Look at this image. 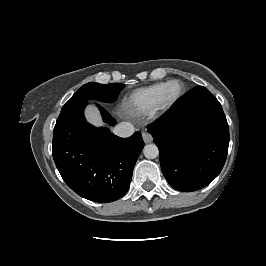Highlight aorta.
<instances>
[{
    "mask_svg": "<svg viewBox=\"0 0 266 266\" xmlns=\"http://www.w3.org/2000/svg\"><path fill=\"white\" fill-rule=\"evenodd\" d=\"M143 154L147 159H155L159 155L158 147L155 144H148L144 147Z\"/></svg>",
    "mask_w": 266,
    "mask_h": 266,
    "instance_id": "aorta-1",
    "label": "aorta"
}]
</instances>
